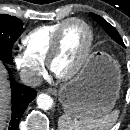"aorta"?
Returning a JSON list of instances; mask_svg holds the SVG:
<instances>
[{"mask_svg":"<svg viewBox=\"0 0 130 130\" xmlns=\"http://www.w3.org/2000/svg\"><path fill=\"white\" fill-rule=\"evenodd\" d=\"M37 105L42 110H49L53 105V99L47 94H40L37 96Z\"/></svg>","mask_w":130,"mask_h":130,"instance_id":"762f6f07","label":"aorta"}]
</instances>
